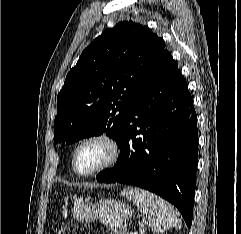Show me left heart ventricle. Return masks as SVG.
<instances>
[{
	"label": "left heart ventricle",
	"instance_id": "obj_1",
	"mask_svg": "<svg viewBox=\"0 0 241 234\" xmlns=\"http://www.w3.org/2000/svg\"><path fill=\"white\" fill-rule=\"evenodd\" d=\"M108 157L107 147L100 142H91L82 146L76 156V167L81 172L91 171Z\"/></svg>",
	"mask_w": 241,
	"mask_h": 234
}]
</instances>
